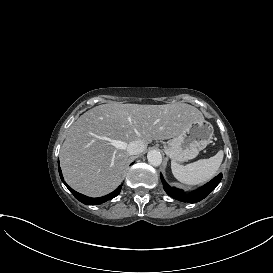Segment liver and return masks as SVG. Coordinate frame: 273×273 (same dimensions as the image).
<instances>
[{
	"label": "liver",
	"mask_w": 273,
	"mask_h": 273,
	"mask_svg": "<svg viewBox=\"0 0 273 273\" xmlns=\"http://www.w3.org/2000/svg\"><path fill=\"white\" fill-rule=\"evenodd\" d=\"M202 118L198 108L180 102L96 106L68 130L59 154L64 179L88 197L110 194L123 181L128 143L141 140L147 146L152 139L172 138L191 121Z\"/></svg>",
	"instance_id": "obj_1"
}]
</instances>
